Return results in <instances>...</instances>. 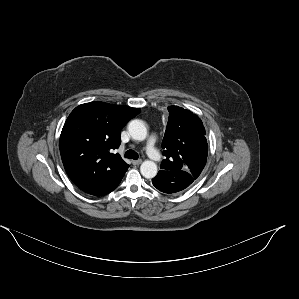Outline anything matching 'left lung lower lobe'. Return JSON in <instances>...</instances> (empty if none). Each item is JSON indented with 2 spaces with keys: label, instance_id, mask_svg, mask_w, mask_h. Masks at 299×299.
Here are the masks:
<instances>
[{
  "label": "left lung lower lobe",
  "instance_id": "obj_1",
  "mask_svg": "<svg viewBox=\"0 0 299 299\" xmlns=\"http://www.w3.org/2000/svg\"><path fill=\"white\" fill-rule=\"evenodd\" d=\"M194 178L183 170H160L152 179L153 185L164 193H176L187 188Z\"/></svg>",
  "mask_w": 299,
  "mask_h": 299
}]
</instances>
